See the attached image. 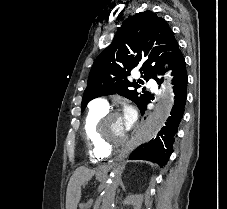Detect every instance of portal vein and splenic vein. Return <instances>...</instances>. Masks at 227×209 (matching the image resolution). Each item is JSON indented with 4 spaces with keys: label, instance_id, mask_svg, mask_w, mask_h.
<instances>
[{
    "label": "portal vein and splenic vein",
    "instance_id": "obj_1",
    "mask_svg": "<svg viewBox=\"0 0 227 209\" xmlns=\"http://www.w3.org/2000/svg\"><path fill=\"white\" fill-rule=\"evenodd\" d=\"M93 200H94V199L92 198V199H90V200L86 203V204H87L86 206H87L88 209L90 208L89 206H90V204L93 202Z\"/></svg>",
    "mask_w": 227,
    "mask_h": 209
}]
</instances>
